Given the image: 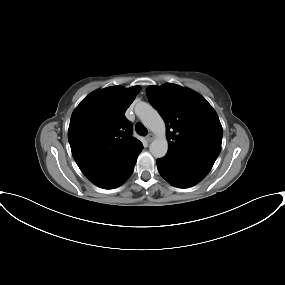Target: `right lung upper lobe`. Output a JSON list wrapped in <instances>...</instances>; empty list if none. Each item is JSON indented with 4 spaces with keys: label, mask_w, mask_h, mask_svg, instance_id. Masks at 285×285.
<instances>
[{
    "label": "right lung upper lobe",
    "mask_w": 285,
    "mask_h": 285,
    "mask_svg": "<svg viewBox=\"0 0 285 285\" xmlns=\"http://www.w3.org/2000/svg\"><path fill=\"white\" fill-rule=\"evenodd\" d=\"M140 87L111 86L90 93L72 113L68 140L83 174L96 182L143 148L125 111Z\"/></svg>",
    "instance_id": "obj_1"
}]
</instances>
